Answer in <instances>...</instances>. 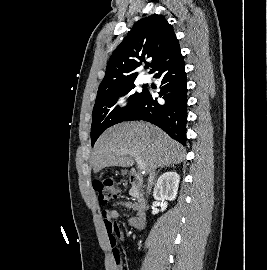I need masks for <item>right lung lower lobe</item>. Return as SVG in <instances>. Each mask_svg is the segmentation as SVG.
<instances>
[{
	"label": "right lung lower lobe",
	"mask_w": 267,
	"mask_h": 270,
	"mask_svg": "<svg viewBox=\"0 0 267 270\" xmlns=\"http://www.w3.org/2000/svg\"><path fill=\"white\" fill-rule=\"evenodd\" d=\"M154 77L161 80L158 103L147 90L124 121L145 120L163 129L170 137L185 145L187 87L184 60L179 43L159 62Z\"/></svg>",
	"instance_id": "1"
}]
</instances>
